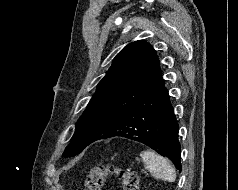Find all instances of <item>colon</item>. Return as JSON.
I'll use <instances>...</instances> for the list:
<instances>
[{"instance_id":"5ec220e1","label":"colon","mask_w":238,"mask_h":190,"mask_svg":"<svg viewBox=\"0 0 238 190\" xmlns=\"http://www.w3.org/2000/svg\"><path fill=\"white\" fill-rule=\"evenodd\" d=\"M111 175L121 179L123 190H138V175L130 169H121L109 163H101L93 167L86 178L85 190H102L105 181Z\"/></svg>"}]
</instances>
